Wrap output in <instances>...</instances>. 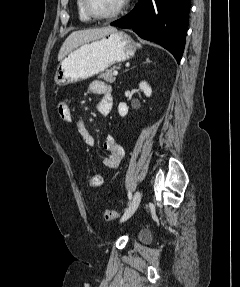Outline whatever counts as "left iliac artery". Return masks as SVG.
I'll list each match as a JSON object with an SVG mask.
<instances>
[{
  "instance_id": "obj_1",
  "label": "left iliac artery",
  "mask_w": 240,
  "mask_h": 287,
  "mask_svg": "<svg viewBox=\"0 0 240 287\" xmlns=\"http://www.w3.org/2000/svg\"><path fill=\"white\" fill-rule=\"evenodd\" d=\"M128 198H129V200H131V198H132V193L130 191L128 192Z\"/></svg>"
}]
</instances>
